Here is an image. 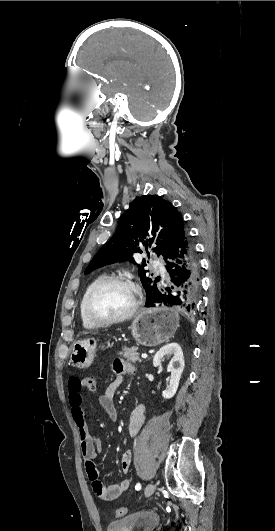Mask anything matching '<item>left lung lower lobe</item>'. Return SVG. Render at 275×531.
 Returning <instances> with one entry per match:
<instances>
[{
  "label": "left lung lower lobe",
  "instance_id": "1",
  "mask_svg": "<svg viewBox=\"0 0 275 531\" xmlns=\"http://www.w3.org/2000/svg\"><path fill=\"white\" fill-rule=\"evenodd\" d=\"M170 284L161 289L146 307H175L194 315L200 300V265L194 244L184 227L176 236L166 257Z\"/></svg>",
  "mask_w": 275,
  "mask_h": 531
}]
</instances>
